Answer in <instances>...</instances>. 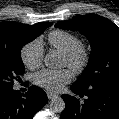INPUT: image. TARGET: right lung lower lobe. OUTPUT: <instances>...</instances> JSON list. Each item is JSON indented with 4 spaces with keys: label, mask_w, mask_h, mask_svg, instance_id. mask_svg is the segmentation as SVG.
<instances>
[{
    "label": "right lung lower lobe",
    "mask_w": 119,
    "mask_h": 119,
    "mask_svg": "<svg viewBox=\"0 0 119 119\" xmlns=\"http://www.w3.org/2000/svg\"><path fill=\"white\" fill-rule=\"evenodd\" d=\"M47 103L46 93L32 86L26 94L13 87L0 90V119H32Z\"/></svg>",
    "instance_id": "98d812e1"
}]
</instances>
